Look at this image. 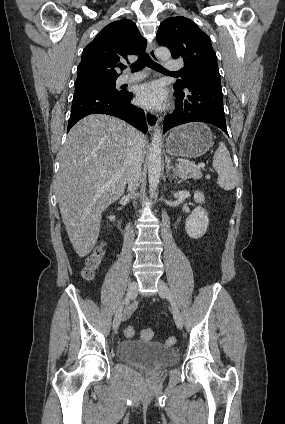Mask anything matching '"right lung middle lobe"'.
<instances>
[{
    "mask_svg": "<svg viewBox=\"0 0 285 424\" xmlns=\"http://www.w3.org/2000/svg\"><path fill=\"white\" fill-rule=\"evenodd\" d=\"M115 83H116V80L92 81V82L79 83V84H75V92L86 91V90H99V91H106L110 93H120L121 91H118L115 88Z\"/></svg>",
    "mask_w": 285,
    "mask_h": 424,
    "instance_id": "1",
    "label": "right lung middle lobe"
}]
</instances>
